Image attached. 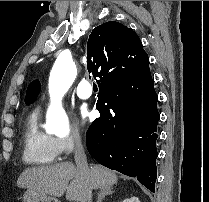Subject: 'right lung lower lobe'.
I'll return each mask as SVG.
<instances>
[{"label":"right lung lower lobe","instance_id":"obj_1","mask_svg":"<svg viewBox=\"0 0 209 202\" xmlns=\"http://www.w3.org/2000/svg\"><path fill=\"white\" fill-rule=\"evenodd\" d=\"M157 100L150 70L125 87H100V117L86 133L87 149L97 162L136 177L152 192L157 178Z\"/></svg>","mask_w":209,"mask_h":202}]
</instances>
